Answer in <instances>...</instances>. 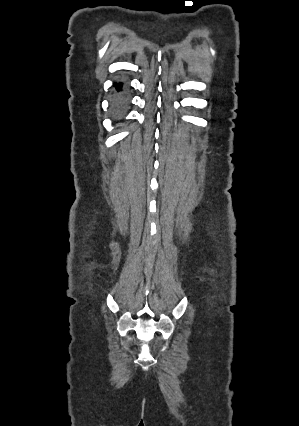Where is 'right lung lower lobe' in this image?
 <instances>
[{
  "label": "right lung lower lobe",
  "mask_w": 299,
  "mask_h": 426,
  "mask_svg": "<svg viewBox=\"0 0 299 426\" xmlns=\"http://www.w3.org/2000/svg\"><path fill=\"white\" fill-rule=\"evenodd\" d=\"M116 90L121 89V84H114ZM127 109V100L124 96H117L113 102L112 111L116 117H121Z\"/></svg>",
  "instance_id": "obj_1"
}]
</instances>
